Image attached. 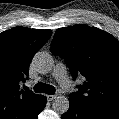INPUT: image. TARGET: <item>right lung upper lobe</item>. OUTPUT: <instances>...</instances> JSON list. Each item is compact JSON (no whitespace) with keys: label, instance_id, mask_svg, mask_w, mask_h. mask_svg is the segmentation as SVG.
<instances>
[{"label":"right lung upper lobe","instance_id":"cb5924a9","mask_svg":"<svg viewBox=\"0 0 119 119\" xmlns=\"http://www.w3.org/2000/svg\"><path fill=\"white\" fill-rule=\"evenodd\" d=\"M51 30L14 27L0 33V119H33L42 95L20 88L28 76L35 53L47 42Z\"/></svg>","mask_w":119,"mask_h":119}]
</instances>
